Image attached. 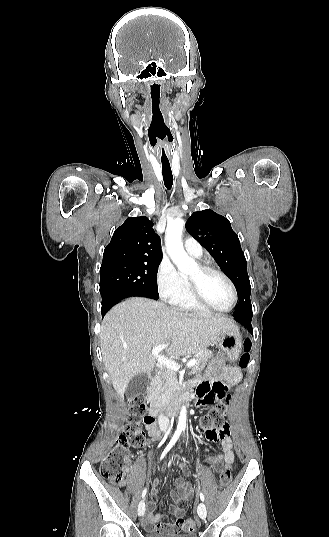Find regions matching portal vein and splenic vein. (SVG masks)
I'll use <instances>...</instances> for the list:
<instances>
[{
	"instance_id": "obj_1",
	"label": "portal vein and splenic vein",
	"mask_w": 329,
	"mask_h": 537,
	"mask_svg": "<svg viewBox=\"0 0 329 537\" xmlns=\"http://www.w3.org/2000/svg\"><path fill=\"white\" fill-rule=\"evenodd\" d=\"M168 343L166 344H160V345H157L155 347H153L152 349V355L154 357L157 358V361L159 363H161L162 365L166 366L167 368L173 370V371H178L180 369V365L178 363H176L175 361H173L172 359H168L166 357H163V356H160L159 355V352L162 351L163 349H165L166 347H168ZM196 364V359H192L191 361H189L187 363V367L188 368H191L193 367L194 365Z\"/></svg>"
}]
</instances>
